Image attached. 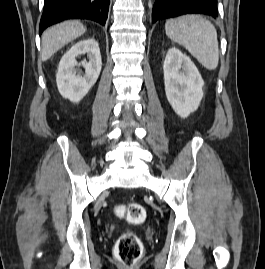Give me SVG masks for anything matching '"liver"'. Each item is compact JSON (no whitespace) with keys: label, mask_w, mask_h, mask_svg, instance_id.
<instances>
[{"label":"liver","mask_w":265,"mask_h":269,"mask_svg":"<svg viewBox=\"0 0 265 269\" xmlns=\"http://www.w3.org/2000/svg\"><path fill=\"white\" fill-rule=\"evenodd\" d=\"M85 32L86 27L79 21H65L46 30L42 35V60H48L59 49Z\"/></svg>","instance_id":"liver-1"}]
</instances>
